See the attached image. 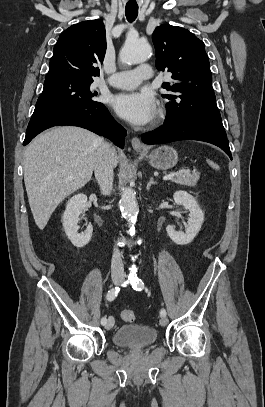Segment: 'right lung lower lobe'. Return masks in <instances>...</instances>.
<instances>
[{"mask_svg": "<svg viewBox=\"0 0 265 407\" xmlns=\"http://www.w3.org/2000/svg\"><path fill=\"white\" fill-rule=\"evenodd\" d=\"M72 125L88 129L105 136L120 148L124 147L126 130L119 125L103 105L82 107L46 116L29 122L23 145H27L37 134L53 126Z\"/></svg>", "mask_w": 265, "mask_h": 407, "instance_id": "obj_1", "label": "right lung lower lobe"}]
</instances>
